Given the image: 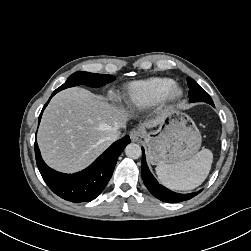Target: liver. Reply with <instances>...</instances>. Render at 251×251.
<instances>
[{
  "label": "liver",
  "mask_w": 251,
  "mask_h": 251,
  "mask_svg": "<svg viewBox=\"0 0 251 251\" xmlns=\"http://www.w3.org/2000/svg\"><path fill=\"white\" fill-rule=\"evenodd\" d=\"M132 117L84 88L56 94L45 109L38 130V145L45 162L63 172H76L91 164L111 144L113 130L124 128ZM164 116L146 121L145 128L159 125Z\"/></svg>",
  "instance_id": "1"
}]
</instances>
